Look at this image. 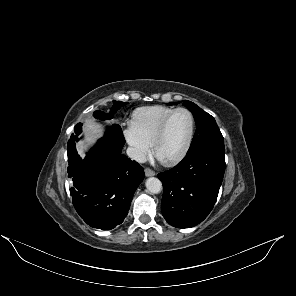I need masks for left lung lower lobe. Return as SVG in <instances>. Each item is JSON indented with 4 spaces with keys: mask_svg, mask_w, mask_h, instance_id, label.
I'll use <instances>...</instances> for the list:
<instances>
[{
    "mask_svg": "<svg viewBox=\"0 0 296 296\" xmlns=\"http://www.w3.org/2000/svg\"><path fill=\"white\" fill-rule=\"evenodd\" d=\"M225 171V147L215 143L191 153L174 168L159 173L163 184L161 210L177 228L202 222L212 210Z\"/></svg>",
    "mask_w": 296,
    "mask_h": 296,
    "instance_id": "left-lung-lower-lobe-1",
    "label": "left lung lower lobe"
}]
</instances>
